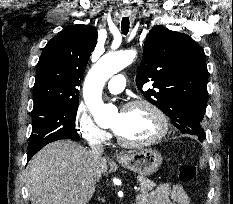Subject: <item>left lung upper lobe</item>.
<instances>
[{
  "label": "left lung upper lobe",
  "instance_id": "5c2ea615",
  "mask_svg": "<svg viewBox=\"0 0 233 204\" xmlns=\"http://www.w3.org/2000/svg\"><path fill=\"white\" fill-rule=\"evenodd\" d=\"M207 65L203 49L188 35L154 26L147 34L136 75L138 89L183 134L206 136L201 126L207 102ZM152 81L153 89L143 91Z\"/></svg>",
  "mask_w": 233,
  "mask_h": 204
}]
</instances>
